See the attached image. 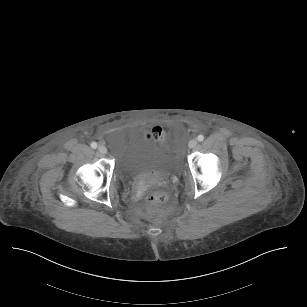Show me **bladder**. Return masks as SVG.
<instances>
[{
  "label": "bladder",
  "instance_id": "obj_1",
  "mask_svg": "<svg viewBox=\"0 0 307 307\" xmlns=\"http://www.w3.org/2000/svg\"><path fill=\"white\" fill-rule=\"evenodd\" d=\"M157 167L175 171L177 167L173 152L152 142H142L125 149L119 157V172L127 180L146 177Z\"/></svg>",
  "mask_w": 307,
  "mask_h": 307
}]
</instances>
